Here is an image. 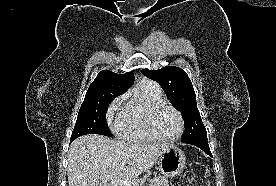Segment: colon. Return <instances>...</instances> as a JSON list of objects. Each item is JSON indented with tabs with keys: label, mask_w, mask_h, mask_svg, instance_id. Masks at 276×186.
<instances>
[{
	"label": "colon",
	"mask_w": 276,
	"mask_h": 186,
	"mask_svg": "<svg viewBox=\"0 0 276 186\" xmlns=\"http://www.w3.org/2000/svg\"><path fill=\"white\" fill-rule=\"evenodd\" d=\"M175 186H204L203 181L199 176L190 172H186L181 177L175 180Z\"/></svg>",
	"instance_id": "5ec220e1"
}]
</instances>
